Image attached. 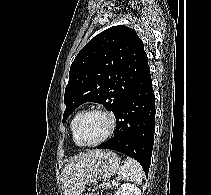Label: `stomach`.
<instances>
[{
  "label": "stomach",
  "mask_w": 211,
  "mask_h": 195,
  "mask_svg": "<svg viewBox=\"0 0 211 195\" xmlns=\"http://www.w3.org/2000/svg\"><path fill=\"white\" fill-rule=\"evenodd\" d=\"M121 159L111 151L101 152L94 160L88 174L87 183H95L97 180L107 178L117 173Z\"/></svg>",
  "instance_id": "1"
}]
</instances>
